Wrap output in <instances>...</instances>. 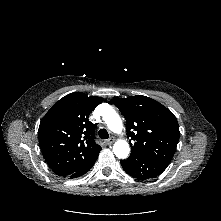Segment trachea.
<instances>
[{
	"label": "trachea",
	"instance_id": "obj_1",
	"mask_svg": "<svg viewBox=\"0 0 221 221\" xmlns=\"http://www.w3.org/2000/svg\"><path fill=\"white\" fill-rule=\"evenodd\" d=\"M98 135L101 139H108L109 138V134L106 129H100L98 131Z\"/></svg>",
	"mask_w": 221,
	"mask_h": 221
}]
</instances>
